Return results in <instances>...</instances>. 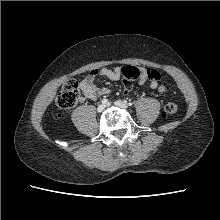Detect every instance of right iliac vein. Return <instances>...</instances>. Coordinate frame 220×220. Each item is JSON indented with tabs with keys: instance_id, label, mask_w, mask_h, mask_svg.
I'll return each instance as SVG.
<instances>
[{
	"instance_id": "1",
	"label": "right iliac vein",
	"mask_w": 220,
	"mask_h": 220,
	"mask_svg": "<svg viewBox=\"0 0 220 220\" xmlns=\"http://www.w3.org/2000/svg\"><path fill=\"white\" fill-rule=\"evenodd\" d=\"M105 105L104 104H100V105H98V107H97V111L98 112H102L104 109H105Z\"/></svg>"
}]
</instances>
